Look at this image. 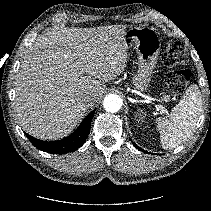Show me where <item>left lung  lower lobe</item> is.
Segmentation results:
<instances>
[{"label": "left lung lower lobe", "mask_w": 211, "mask_h": 211, "mask_svg": "<svg viewBox=\"0 0 211 211\" xmlns=\"http://www.w3.org/2000/svg\"><path fill=\"white\" fill-rule=\"evenodd\" d=\"M132 142V141H131ZM133 143V142H132ZM133 145L138 149V150H140V151H142V152H146V151H144V150H142L140 147H138L135 143H133ZM146 153H148V152H146Z\"/></svg>", "instance_id": "left-lung-lower-lobe-1"}]
</instances>
